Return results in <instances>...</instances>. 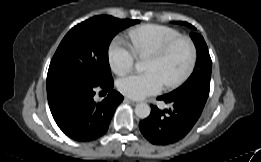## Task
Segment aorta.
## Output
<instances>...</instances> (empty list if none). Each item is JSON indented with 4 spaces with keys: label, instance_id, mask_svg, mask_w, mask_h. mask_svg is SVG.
<instances>
[{
    "label": "aorta",
    "instance_id": "obj_1",
    "mask_svg": "<svg viewBox=\"0 0 261 162\" xmlns=\"http://www.w3.org/2000/svg\"><path fill=\"white\" fill-rule=\"evenodd\" d=\"M137 70H140V64L138 63L136 66ZM151 108L146 103H139L135 107V114L137 117L141 119H145L150 115Z\"/></svg>",
    "mask_w": 261,
    "mask_h": 162
}]
</instances>
